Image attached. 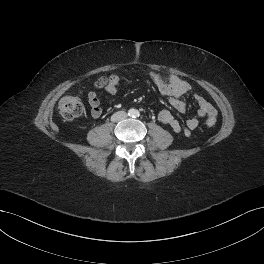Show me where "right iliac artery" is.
Masks as SVG:
<instances>
[{
  "mask_svg": "<svg viewBox=\"0 0 264 264\" xmlns=\"http://www.w3.org/2000/svg\"><path fill=\"white\" fill-rule=\"evenodd\" d=\"M133 114V111L132 110H130L129 111V113H128V115H132Z\"/></svg>",
  "mask_w": 264,
  "mask_h": 264,
  "instance_id": "obj_1",
  "label": "right iliac artery"
}]
</instances>
